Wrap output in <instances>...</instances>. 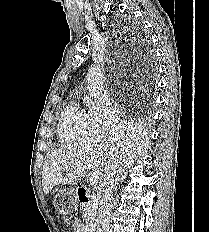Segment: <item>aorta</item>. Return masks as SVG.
<instances>
[{
    "label": "aorta",
    "mask_w": 209,
    "mask_h": 232,
    "mask_svg": "<svg viewBox=\"0 0 209 232\" xmlns=\"http://www.w3.org/2000/svg\"><path fill=\"white\" fill-rule=\"evenodd\" d=\"M89 95L97 98L103 89V75L101 69L97 65H91L86 76Z\"/></svg>",
    "instance_id": "obj_1"
}]
</instances>
